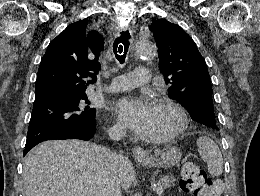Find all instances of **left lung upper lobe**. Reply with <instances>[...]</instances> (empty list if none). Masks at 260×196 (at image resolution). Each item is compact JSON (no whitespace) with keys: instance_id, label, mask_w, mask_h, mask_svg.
<instances>
[{"instance_id":"left-lung-upper-lobe-1","label":"left lung upper lobe","mask_w":260,"mask_h":196,"mask_svg":"<svg viewBox=\"0 0 260 196\" xmlns=\"http://www.w3.org/2000/svg\"><path fill=\"white\" fill-rule=\"evenodd\" d=\"M149 28L158 46L159 67L169 86V98L189 113L195 107H213L208 69L192 38L166 19L155 20ZM206 126L218 130L216 121Z\"/></svg>"}]
</instances>
